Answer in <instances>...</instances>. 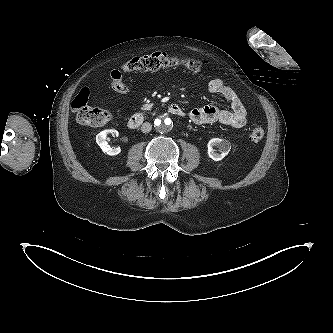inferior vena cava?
I'll list each match as a JSON object with an SVG mask.
<instances>
[{"mask_svg": "<svg viewBox=\"0 0 333 333\" xmlns=\"http://www.w3.org/2000/svg\"><path fill=\"white\" fill-rule=\"evenodd\" d=\"M151 129H152V125H151V123H149V122H145V123H143L142 126H141V131H142L143 133H148V132L151 131Z\"/></svg>", "mask_w": 333, "mask_h": 333, "instance_id": "602c4592", "label": "inferior vena cava"}]
</instances>
